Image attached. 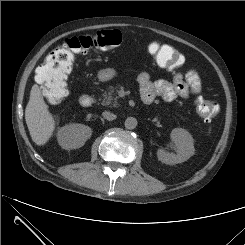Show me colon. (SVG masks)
I'll use <instances>...</instances> for the list:
<instances>
[{
	"instance_id": "colon-1",
	"label": "colon",
	"mask_w": 245,
	"mask_h": 245,
	"mask_svg": "<svg viewBox=\"0 0 245 245\" xmlns=\"http://www.w3.org/2000/svg\"><path fill=\"white\" fill-rule=\"evenodd\" d=\"M122 43V34L118 30H101L92 35H81L68 39L61 47L54 49L38 70V78L43 83V92L52 102L62 101L68 94L67 78L74 61V54L89 49L108 50ZM150 53L156 62L170 69L184 65V58L169 45L151 44ZM198 114L206 121L212 120L218 113L219 106L215 101L204 97L195 100Z\"/></svg>"
}]
</instances>
